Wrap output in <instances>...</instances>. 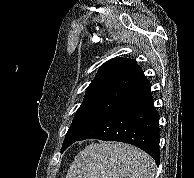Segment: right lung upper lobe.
Here are the masks:
<instances>
[{
	"label": "right lung upper lobe",
	"instance_id": "1",
	"mask_svg": "<svg viewBox=\"0 0 194 178\" xmlns=\"http://www.w3.org/2000/svg\"><path fill=\"white\" fill-rule=\"evenodd\" d=\"M150 87L135 60L113 58L100 67L84 100L106 99L126 103L151 93Z\"/></svg>",
	"mask_w": 194,
	"mask_h": 178
}]
</instances>
